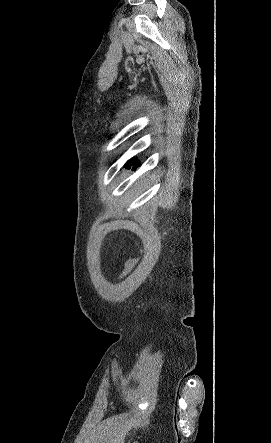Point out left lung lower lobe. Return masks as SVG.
<instances>
[{"instance_id": "0a47b994", "label": "left lung lower lobe", "mask_w": 271, "mask_h": 443, "mask_svg": "<svg viewBox=\"0 0 271 443\" xmlns=\"http://www.w3.org/2000/svg\"><path fill=\"white\" fill-rule=\"evenodd\" d=\"M131 165H133V170H135L136 167L139 166V161H137L136 159H131L130 161L127 162V165L125 167L130 168Z\"/></svg>"}]
</instances>
